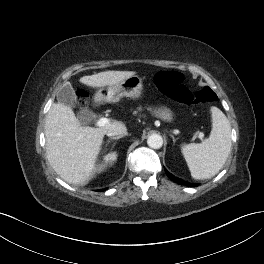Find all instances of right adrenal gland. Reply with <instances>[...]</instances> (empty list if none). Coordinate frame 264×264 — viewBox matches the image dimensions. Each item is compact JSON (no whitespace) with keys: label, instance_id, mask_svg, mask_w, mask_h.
<instances>
[{"label":"right adrenal gland","instance_id":"1","mask_svg":"<svg viewBox=\"0 0 264 264\" xmlns=\"http://www.w3.org/2000/svg\"><path fill=\"white\" fill-rule=\"evenodd\" d=\"M122 137H123V135L116 136V137H111V138L107 141L105 147H107V145H108L111 141H113V140H118V139H120V138H122Z\"/></svg>","mask_w":264,"mask_h":264}]
</instances>
